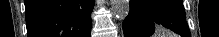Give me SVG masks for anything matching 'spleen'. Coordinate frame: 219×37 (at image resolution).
<instances>
[{
    "instance_id": "3e777b00",
    "label": "spleen",
    "mask_w": 219,
    "mask_h": 37,
    "mask_svg": "<svg viewBox=\"0 0 219 37\" xmlns=\"http://www.w3.org/2000/svg\"><path fill=\"white\" fill-rule=\"evenodd\" d=\"M153 37H176V36L162 27H157Z\"/></svg>"
}]
</instances>
